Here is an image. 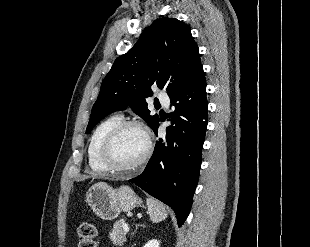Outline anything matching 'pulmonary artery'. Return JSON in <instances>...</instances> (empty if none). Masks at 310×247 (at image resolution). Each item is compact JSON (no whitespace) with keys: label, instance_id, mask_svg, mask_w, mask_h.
I'll list each match as a JSON object with an SVG mask.
<instances>
[{"label":"pulmonary artery","instance_id":"1","mask_svg":"<svg viewBox=\"0 0 310 247\" xmlns=\"http://www.w3.org/2000/svg\"><path fill=\"white\" fill-rule=\"evenodd\" d=\"M158 99H159L160 103H161L163 106L169 107V105H170V99H169V97H168L166 94L160 93V94L158 95Z\"/></svg>","mask_w":310,"mask_h":247}]
</instances>
